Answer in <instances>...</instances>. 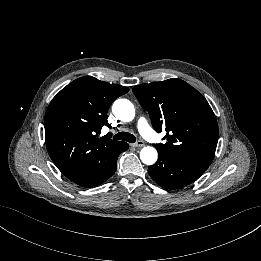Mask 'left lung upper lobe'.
<instances>
[{
	"mask_svg": "<svg viewBox=\"0 0 261 261\" xmlns=\"http://www.w3.org/2000/svg\"><path fill=\"white\" fill-rule=\"evenodd\" d=\"M133 92L149 112L153 128L167 133L166 144L154 145L158 152L212 163L219 130L216 117L200 92L177 78L138 85Z\"/></svg>",
	"mask_w": 261,
	"mask_h": 261,
	"instance_id": "left-lung-upper-lobe-1",
	"label": "left lung upper lobe"
}]
</instances>
